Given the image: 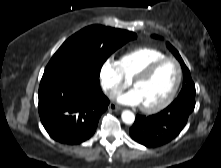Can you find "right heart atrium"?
<instances>
[{
  "instance_id": "obj_1",
  "label": "right heart atrium",
  "mask_w": 221,
  "mask_h": 168,
  "mask_svg": "<svg viewBox=\"0 0 221 168\" xmlns=\"http://www.w3.org/2000/svg\"><path fill=\"white\" fill-rule=\"evenodd\" d=\"M99 80L103 91L109 97L120 93L129 82L123 75L119 62L112 57H108L102 63Z\"/></svg>"
}]
</instances>
